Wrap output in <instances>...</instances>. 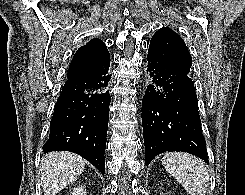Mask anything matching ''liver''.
<instances>
[{
	"instance_id": "liver-1",
	"label": "liver",
	"mask_w": 245,
	"mask_h": 195,
	"mask_svg": "<svg viewBox=\"0 0 245 195\" xmlns=\"http://www.w3.org/2000/svg\"><path fill=\"white\" fill-rule=\"evenodd\" d=\"M85 160L71 152H51L41 160V183L45 195L63 190L84 170Z\"/></svg>"
}]
</instances>
